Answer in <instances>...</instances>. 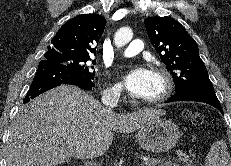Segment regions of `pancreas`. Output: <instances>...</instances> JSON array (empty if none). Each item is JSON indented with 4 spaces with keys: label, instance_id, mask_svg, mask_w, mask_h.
<instances>
[{
    "label": "pancreas",
    "instance_id": "cf45deb5",
    "mask_svg": "<svg viewBox=\"0 0 231 166\" xmlns=\"http://www.w3.org/2000/svg\"><path fill=\"white\" fill-rule=\"evenodd\" d=\"M184 161V166H193L191 162ZM146 166H179L177 163L172 162L170 159H155L145 164Z\"/></svg>",
    "mask_w": 231,
    "mask_h": 166
}]
</instances>
